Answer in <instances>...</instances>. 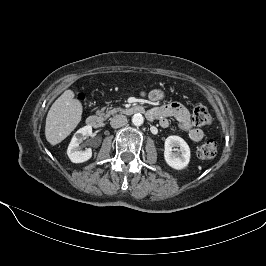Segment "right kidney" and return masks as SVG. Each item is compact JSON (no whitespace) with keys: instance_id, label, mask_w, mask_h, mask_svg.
<instances>
[{"instance_id":"right-kidney-1","label":"right kidney","mask_w":266,"mask_h":266,"mask_svg":"<svg viewBox=\"0 0 266 266\" xmlns=\"http://www.w3.org/2000/svg\"><path fill=\"white\" fill-rule=\"evenodd\" d=\"M92 134V127L90 125L80 128L72 137L67 149V155L73 163H82L92 157L91 148L81 150L79 145L83 142L86 136Z\"/></svg>"}]
</instances>
